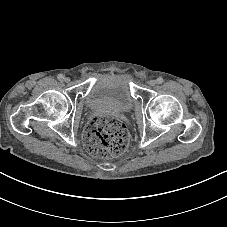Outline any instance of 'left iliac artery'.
Segmentation results:
<instances>
[{
  "instance_id": "44dca946",
  "label": "left iliac artery",
  "mask_w": 227,
  "mask_h": 227,
  "mask_svg": "<svg viewBox=\"0 0 227 227\" xmlns=\"http://www.w3.org/2000/svg\"><path fill=\"white\" fill-rule=\"evenodd\" d=\"M163 81H164V80H163V78H162V77L157 78V83H158V84H162V83H163Z\"/></svg>"
}]
</instances>
